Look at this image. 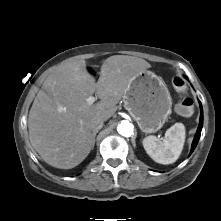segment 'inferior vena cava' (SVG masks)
<instances>
[{
    "label": "inferior vena cava",
    "mask_w": 221,
    "mask_h": 221,
    "mask_svg": "<svg viewBox=\"0 0 221 221\" xmlns=\"http://www.w3.org/2000/svg\"><path fill=\"white\" fill-rule=\"evenodd\" d=\"M102 127H103V121H102L101 119L93 120V121L90 123V129H91L93 132H96V131L100 130Z\"/></svg>",
    "instance_id": "1"
}]
</instances>
